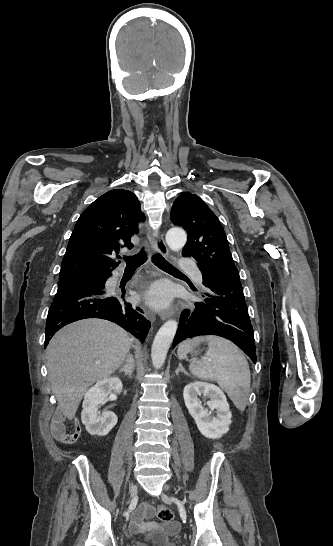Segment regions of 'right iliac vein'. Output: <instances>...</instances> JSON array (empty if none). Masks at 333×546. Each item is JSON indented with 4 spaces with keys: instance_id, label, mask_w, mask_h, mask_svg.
<instances>
[{
    "instance_id": "1",
    "label": "right iliac vein",
    "mask_w": 333,
    "mask_h": 546,
    "mask_svg": "<svg viewBox=\"0 0 333 546\" xmlns=\"http://www.w3.org/2000/svg\"><path fill=\"white\" fill-rule=\"evenodd\" d=\"M136 491H137L136 486L131 487V489H130V493H131V494H135Z\"/></svg>"
}]
</instances>
